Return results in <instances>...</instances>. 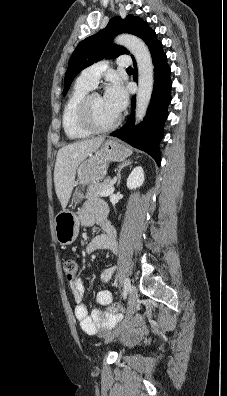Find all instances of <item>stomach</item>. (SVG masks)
I'll list each match as a JSON object with an SVG mask.
<instances>
[{
	"mask_svg": "<svg viewBox=\"0 0 227 396\" xmlns=\"http://www.w3.org/2000/svg\"><path fill=\"white\" fill-rule=\"evenodd\" d=\"M130 148L123 146L115 140L105 141L100 149L91 153L85 160H83L77 167V181L74 186L78 184L82 187L99 182L104 179L107 174V168L110 162H121L131 155ZM84 198L83 193L75 189L72 202L78 203ZM55 236L56 240L62 245L72 244L79 233V219L76 214L70 210H63L59 212L55 219Z\"/></svg>",
	"mask_w": 227,
	"mask_h": 396,
	"instance_id": "obj_1",
	"label": "stomach"
}]
</instances>
